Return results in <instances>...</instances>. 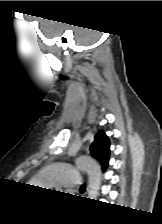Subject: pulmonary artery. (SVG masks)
Wrapping results in <instances>:
<instances>
[{"label":"pulmonary artery","instance_id":"1","mask_svg":"<svg viewBox=\"0 0 162 224\" xmlns=\"http://www.w3.org/2000/svg\"><path fill=\"white\" fill-rule=\"evenodd\" d=\"M39 179L48 186L78 188L82 184L79 171L69 164L45 168L39 175Z\"/></svg>","mask_w":162,"mask_h":224}]
</instances>
